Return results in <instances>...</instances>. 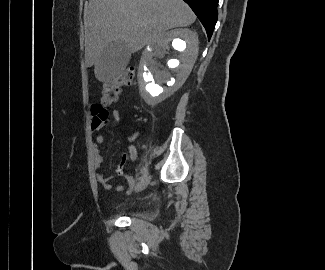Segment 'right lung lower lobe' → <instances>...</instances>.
Segmentation results:
<instances>
[{
	"label": "right lung lower lobe",
	"mask_w": 325,
	"mask_h": 270,
	"mask_svg": "<svg viewBox=\"0 0 325 270\" xmlns=\"http://www.w3.org/2000/svg\"><path fill=\"white\" fill-rule=\"evenodd\" d=\"M197 15L206 29L208 40L211 38L217 22L218 0H184Z\"/></svg>",
	"instance_id": "right-lung-lower-lobe-1"
}]
</instances>
